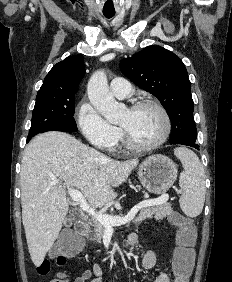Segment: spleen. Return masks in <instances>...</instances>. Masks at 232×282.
Here are the masks:
<instances>
[{"label":"spleen","mask_w":232,"mask_h":282,"mask_svg":"<svg viewBox=\"0 0 232 282\" xmlns=\"http://www.w3.org/2000/svg\"><path fill=\"white\" fill-rule=\"evenodd\" d=\"M174 154L184 168L179 185L182 196L179 203L182 211L189 217L198 216L205 201L204 169L197 155L185 147H178Z\"/></svg>","instance_id":"spleen-1"}]
</instances>
